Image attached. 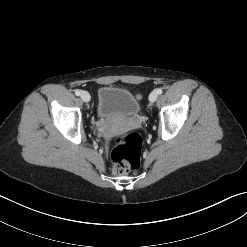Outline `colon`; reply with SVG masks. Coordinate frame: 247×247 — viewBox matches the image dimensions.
I'll use <instances>...</instances> for the list:
<instances>
[{"mask_svg":"<svg viewBox=\"0 0 247 247\" xmlns=\"http://www.w3.org/2000/svg\"><path fill=\"white\" fill-rule=\"evenodd\" d=\"M111 144L110 162L114 174L125 175L140 168L142 137L139 133L116 136Z\"/></svg>","mask_w":247,"mask_h":247,"instance_id":"colon-1","label":"colon"}]
</instances>
